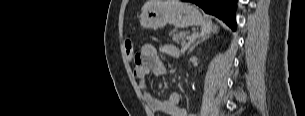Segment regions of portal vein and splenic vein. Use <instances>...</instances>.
Wrapping results in <instances>:
<instances>
[{
	"label": "portal vein and splenic vein",
	"instance_id": "18ae733b",
	"mask_svg": "<svg viewBox=\"0 0 305 116\" xmlns=\"http://www.w3.org/2000/svg\"><path fill=\"white\" fill-rule=\"evenodd\" d=\"M196 35V33H193V35H192V37H188L187 39L189 40V41H192L193 40V37Z\"/></svg>",
	"mask_w": 305,
	"mask_h": 116
}]
</instances>
